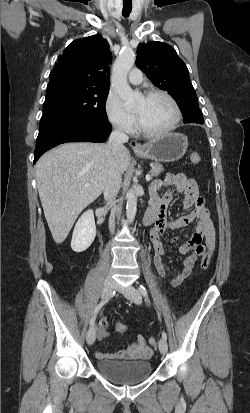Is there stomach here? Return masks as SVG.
Returning a JSON list of instances; mask_svg holds the SVG:
<instances>
[{"label":"stomach","mask_w":250,"mask_h":413,"mask_svg":"<svg viewBox=\"0 0 250 413\" xmlns=\"http://www.w3.org/2000/svg\"><path fill=\"white\" fill-rule=\"evenodd\" d=\"M187 147V136L181 133H168L146 144L145 150L136 152V155L160 162H173L186 153Z\"/></svg>","instance_id":"stomach-1"}]
</instances>
